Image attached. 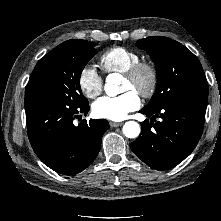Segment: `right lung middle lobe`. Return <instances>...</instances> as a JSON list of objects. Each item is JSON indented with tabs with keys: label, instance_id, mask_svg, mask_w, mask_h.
Segmentation results:
<instances>
[{
	"label": "right lung middle lobe",
	"instance_id": "obj_1",
	"mask_svg": "<svg viewBox=\"0 0 221 221\" xmlns=\"http://www.w3.org/2000/svg\"><path fill=\"white\" fill-rule=\"evenodd\" d=\"M97 53L94 44L86 40L61 43L35 66L25 90L34 95L63 102L79 108L88 104L80 87L83 68Z\"/></svg>",
	"mask_w": 221,
	"mask_h": 221
}]
</instances>
